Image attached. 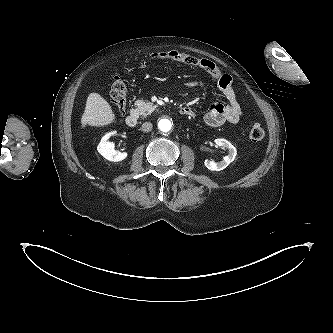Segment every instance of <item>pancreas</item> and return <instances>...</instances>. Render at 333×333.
I'll use <instances>...</instances> for the list:
<instances>
[{
  "instance_id": "obj_1",
  "label": "pancreas",
  "mask_w": 333,
  "mask_h": 333,
  "mask_svg": "<svg viewBox=\"0 0 333 333\" xmlns=\"http://www.w3.org/2000/svg\"><path fill=\"white\" fill-rule=\"evenodd\" d=\"M136 111L143 117L151 114L157 107L149 101L137 100L135 101Z\"/></svg>"
}]
</instances>
